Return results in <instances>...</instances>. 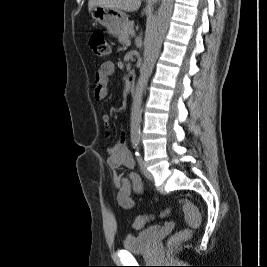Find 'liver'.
I'll list each match as a JSON object with an SVG mask.
<instances>
[{"label": "liver", "instance_id": "6515ba94", "mask_svg": "<svg viewBox=\"0 0 267 267\" xmlns=\"http://www.w3.org/2000/svg\"><path fill=\"white\" fill-rule=\"evenodd\" d=\"M95 6L106 7L118 11L135 12L140 8L141 0H89V11Z\"/></svg>", "mask_w": 267, "mask_h": 267}]
</instances>
